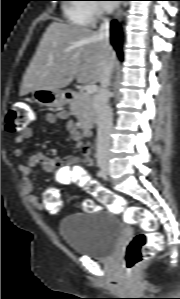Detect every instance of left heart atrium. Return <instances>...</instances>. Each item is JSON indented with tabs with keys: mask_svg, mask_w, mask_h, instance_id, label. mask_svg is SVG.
Here are the masks:
<instances>
[{
	"mask_svg": "<svg viewBox=\"0 0 180 299\" xmlns=\"http://www.w3.org/2000/svg\"><path fill=\"white\" fill-rule=\"evenodd\" d=\"M114 7H115V4H106L107 10H112V9H114Z\"/></svg>",
	"mask_w": 180,
	"mask_h": 299,
	"instance_id": "39dd6f15",
	"label": "left heart atrium"
}]
</instances>
